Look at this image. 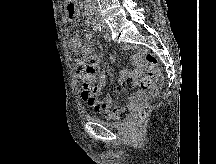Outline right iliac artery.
<instances>
[{"instance_id":"obj_1","label":"right iliac artery","mask_w":216,"mask_h":164,"mask_svg":"<svg viewBox=\"0 0 216 164\" xmlns=\"http://www.w3.org/2000/svg\"><path fill=\"white\" fill-rule=\"evenodd\" d=\"M93 27H94V29L96 31H102V25H101V23L98 22V21H96V20L93 22Z\"/></svg>"}]
</instances>
